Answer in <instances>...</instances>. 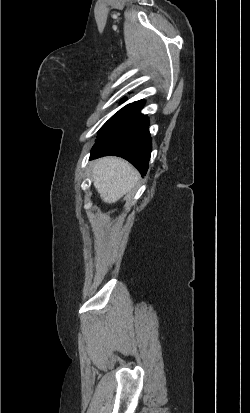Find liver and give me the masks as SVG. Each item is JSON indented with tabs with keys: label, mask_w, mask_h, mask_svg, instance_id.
<instances>
[{
	"label": "liver",
	"mask_w": 250,
	"mask_h": 413,
	"mask_svg": "<svg viewBox=\"0 0 250 413\" xmlns=\"http://www.w3.org/2000/svg\"><path fill=\"white\" fill-rule=\"evenodd\" d=\"M92 179L101 199L111 204L136 185L139 173L126 160L109 156L93 163Z\"/></svg>",
	"instance_id": "6515ba94"
}]
</instances>
